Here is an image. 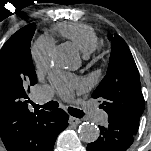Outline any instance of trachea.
Here are the masks:
<instances>
[{
    "instance_id": "1",
    "label": "trachea",
    "mask_w": 151,
    "mask_h": 151,
    "mask_svg": "<svg viewBox=\"0 0 151 151\" xmlns=\"http://www.w3.org/2000/svg\"><path fill=\"white\" fill-rule=\"evenodd\" d=\"M34 107L36 109L44 108L46 110H54V109L59 107V103L56 102V101H50L47 104H44L42 106L35 104ZM68 112H69L70 115H72L74 117H77V118H82L84 116V112L83 111H81L79 109H76V108H73V107H69L68 108Z\"/></svg>"
}]
</instances>
